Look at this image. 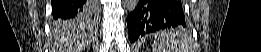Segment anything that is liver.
I'll return each instance as SVG.
<instances>
[{"label": "liver", "instance_id": "6515ba94", "mask_svg": "<svg viewBox=\"0 0 261 52\" xmlns=\"http://www.w3.org/2000/svg\"><path fill=\"white\" fill-rule=\"evenodd\" d=\"M70 27L71 25L58 26L55 24V36L58 38L59 36L64 35L65 31H68Z\"/></svg>", "mask_w": 261, "mask_h": 52}]
</instances>
